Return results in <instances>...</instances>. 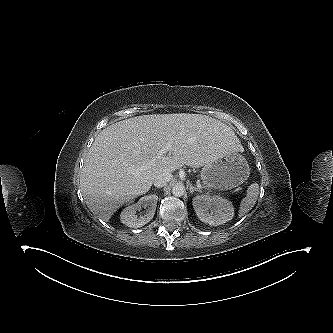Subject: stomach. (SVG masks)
Returning <instances> with one entry per match:
<instances>
[{
	"mask_svg": "<svg viewBox=\"0 0 333 333\" xmlns=\"http://www.w3.org/2000/svg\"><path fill=\"white\" fill-rule=\"evenodd\" d=\"M250 174L246 159L233 153L204 165L201 180L209 188L228 190L243 184Z\"/></svg>",
	"mask_w": 333,
	"mask_h": 333,
	"instance_id": "stomach-1",
	"label": "stomach"
}]
</instances>
